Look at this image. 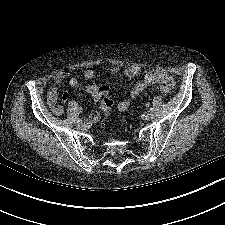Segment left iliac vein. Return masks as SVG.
<instances>
[{
	"label": "left iliac vein",
	"mask_w": 225,
	"mask_h": 225,
	"mask_svg": "<svg viewBox=\"0 0 225 225\" xmlns=\"http://www.w3.org/2000/svg\"><path fill=\"white\" fill-rule=\"evenodd\" d=\"M154 118V112L153 111H148V113L145 115L146 120H152Z\"/></svg>",
	"instance_id": "left-iliac-vein-1"
}]
</instances>
